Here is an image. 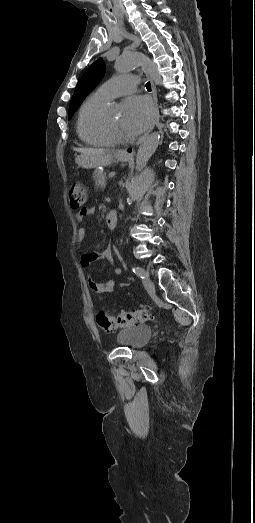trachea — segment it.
I'll return each mask as SVG.
<instances>
[{
	"instance_id": "3493384b",
	"label": "trachea",
	"mask_w": 255,
	"mask_h": 523,
	"mask_svg": "<svg viewBox=\"0 0 255 523\" xmlns=\"http://www.w3.org/2000/svg\"><path fill=\"white\" fill-rule=\"evenodd\" d=\"M146 88H147V90H148L149 92H151L152 88H151L150 82H148V83L146 84Z\"/></svg>"
}]
</instances>
